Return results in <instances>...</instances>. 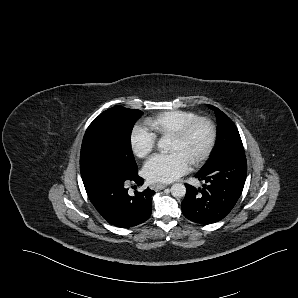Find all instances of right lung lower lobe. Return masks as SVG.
Masks as SVG:
<instances>
[{
    "label": "right lung lower lobe",
    "mask_w": 298,
    "mask_h": 298,
    "mask_svg": "<svg viewBox=\"0 0 298 298\" xmlns=\"http://www.w3.org/2000/svg\"><path fill=\"white\" fill-rule=\"evenodd\" d=\"M133 172L129 179H118L84 184L88 197L108 223L129 228L145 222L151 216L152 195L147 188L128 194L127 184L142 185L143 179Z\"/></svg>",
    "instance_id": "right-lung-lower-lobe-1"
}]
</instances>
